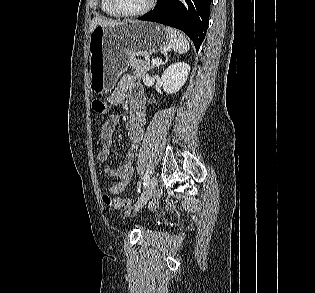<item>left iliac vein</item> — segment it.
Masks as SVG:
<instances>
[{
	"instance_id": "left-iliac-vein-1",
	"label": "left iliac vein",
	"mask_w": 315,
	"mask_h": 293,
	"mask_svg": "<svg viewBox=\"0 0 315 293\" xmlns=\"http://www.w3.org/2000/svg\"><path fill=\"white\" fill-rule=\"evenodd\" d=\"M157 184H158V179H157V176L154 175L149 181L147 189L144 192L141 200L135 206V209H134L135 212L139 211L150 200V198H152V196L156 193Z\"/></svg>"
}]
</instances>
